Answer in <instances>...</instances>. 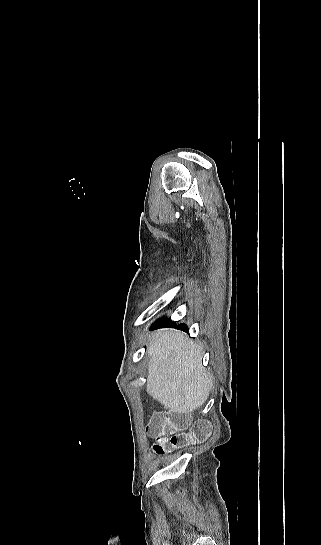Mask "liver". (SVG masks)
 <instances>
[{"label":"liver","mask_w":321,"mask_h":545,"mask_svg":"<svg viewBox=\"0 0 321 545\" xmlns=\"http://www.w3.org/2000/svg\"><path fill=\"white\" fill-rule=\"evenodd\" d=\"M147 393L173 413H190L207 401L212 377L202 349L180 331H155L149 339Z\"/></svg>","instance_id":"obj_1"}]
</instances>
